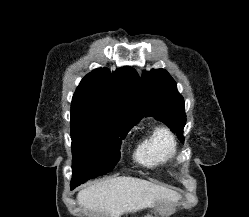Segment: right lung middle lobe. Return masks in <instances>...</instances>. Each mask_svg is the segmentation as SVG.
I'll list each match as a JSON object with an SVG mask.
<instances>
[{"instance_id": "right-lung-middle-lobe-1", "label": "right lung middle lobe", "mask_w": 249, "mask_h": 217, "mask_svg": "<svg viewBox=\"0 0 249 217\" xmlns=\"http://www.w3.org/2000/svg\"><path fill=\"white\" fill-rule=\"evenodd\" d=\"M73 177L103 176L120 158V145L132 125L88 105H71Z\"/></svg>"}]
</instances>
